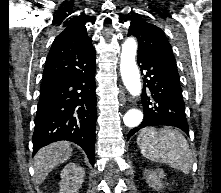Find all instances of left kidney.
I'll return each mask as SVG.
<instances>
[{"instance_id": "left-kidney-1", "label": "left kidney", "mask_w": 221, "mask_h": 193, "mask_svg": "<svg viewBox=\"0 0 221 193\" xmlns=\"http://www.w3.org/2000/svg\"><path fill=\"white\" fill-rule=\"evenodd\" d=\"M144 175H146V182L149 184V186L153 188H162L163 183L161 182V179L165 177L164 171L161 169H157L156 171L153 170H145Z\"/></svg>"}]
</instances>
